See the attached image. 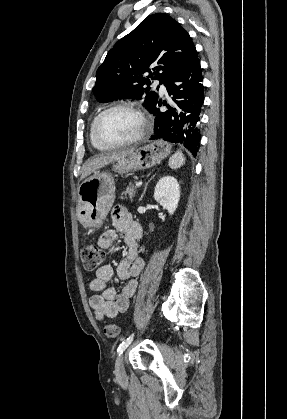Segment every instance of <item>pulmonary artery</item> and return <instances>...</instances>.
Segmentation results:
<instances>
[{
    "label": "pulmonary artery",
    "instance_id": "1",
    "mask_svg": "<svg viewBox=\"0 0 287 419\" xmlns=\"http://www.w3.org/2000/svg\"><path fill=\"white\" fill-rule=\"evenodd\" d=\"M155 86H159V91L161 94H166V87L161 84L158 80L154 82Z\"/></svg>",
    "mask_w": 287,
    "mask_h": 419
}]
</instances>
